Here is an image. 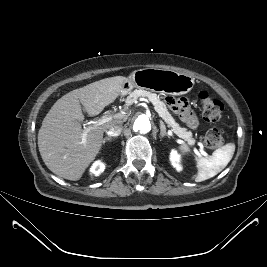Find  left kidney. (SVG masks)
Here are the masks:
<instances>
[{"label": "left kidney", "mask_w": 267, "mask_h": 267, "mask_svg": "<svg viewBox=\"0 0 267 267\" xmlns=\"http://www.w3.org/2000/svg\"><path fill=\"white\" fill-rule=\"evenodd\" d=\"M170 161L174 168H176L177 171L182 170V166L180 164V156L177 154L175 150H172L170 153Z\"/></svg>", "instance_id": "left-kidney-1"}]
</instances>
